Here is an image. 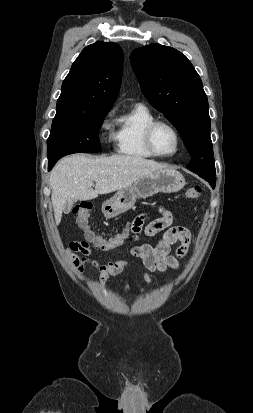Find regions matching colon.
<instances>
[{"mask_svg":"<svg viewBox=\"0 0 253 413\" xmlns=\"http://www.w3.org/2000/svg\"><path fill=\"white\" fill-rule=\"evenodd\" d=\"M201 192L202 188L199 185H193L188 188L186 194L188 198L197 200L200 198ZM91 210L92 206L88 202L80 203L73 209V214L76 217L78 225L85 230L87 241L100 248L102 251H111L122 246L128 237L129 231L124 230L110 238L102 237L89 226Z\"/></svg>","mask_w":253,"mask_h":413,"instance_id":"5ec220e1","label":"colon"}]
</instances>
